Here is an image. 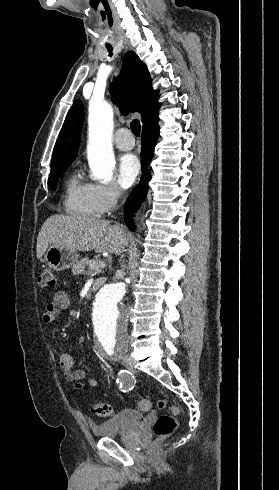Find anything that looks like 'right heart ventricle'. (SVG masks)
<instances>
[{
    "instance_id": "1",
    "label": "right heart ventricle",
    "mask_w": 279,
    "mask_h": 490,
    "mask_svg": "<svg viewBox=\"0 0 279 490\" xmlns=\"http://www.w3.org/2000/svg\"><path fill=\"white\" fill-rule=\"evenodd\" d=\"M65 206L68 213L78 217L96 216L90 202L88 184L79 182L74 176L67 184Z\"/></svg>"
}]
</instances>
